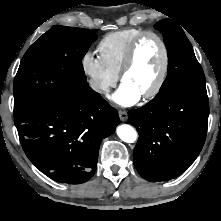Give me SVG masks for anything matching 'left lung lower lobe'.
I'll return each mask as SVG.
<instances>
[{"label": "left lung lower lobe", "mask_w": 221, "mask_h": 221, "mask_svg": "<svg viewBox=\"0 0 221 221\" xmlns=\"http://www.w3.org/2000/svg\"><path fill=\"white\" fill-rule=\"evenodd\" d=\"M128 115L139 134L133 152L138 173L152 182L170 180L187 170L202 150L209 116L207 92L169 87Z\"/></svg>", "instance_id": "left-lung-lower-lobe-1"}]
</instances>
